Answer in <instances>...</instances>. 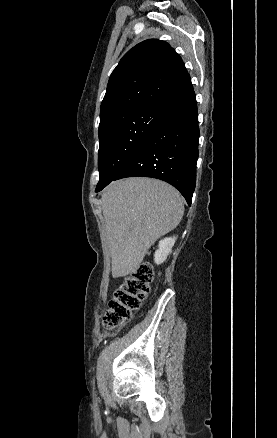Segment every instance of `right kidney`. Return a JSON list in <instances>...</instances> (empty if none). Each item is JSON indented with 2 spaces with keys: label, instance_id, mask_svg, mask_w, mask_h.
Instances as JSON below:
<instances>
[{
  "label": "right kidney",
  "instance_id": "1",
  "mask_svg": "<svg viewBox=\"0 0 277 438\" xmlns=\"http://www.w3.org/2000/svg\"><path fill=\"white\" fill-rule=\"evenodd\" d=\"M177 238H164L158 244V250H156L154 254V262L155 264H163L165 260H167V256L171 254L172 248L176 242Z\"/></svg>",
  "mask_w": 277,
  "mask_h": 438
}]
</instances>
